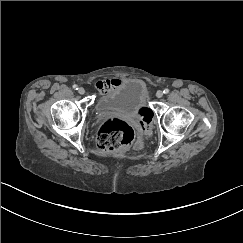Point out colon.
Here are the masks:
<instances>
[{"instance_id": "5ec220e1", "label": "colon", "mask_w": 243, "mask_h": 243, "mask_svg": "<svg viewBox=\"0 0 243 243\" xmlns=\"http://www.w3.org/2000/svg\"><path fill=\"white\" fill-rule=\"evenodd\" d=\"M150 121L151 117L147 114L141 128L142 134L148 132ZM133 140L134 130L127 122L118 118L107 117L101 124L97 136V146L104 152H115L128 146Z\"/></svg>"}]
</instances>
